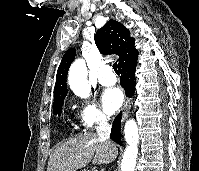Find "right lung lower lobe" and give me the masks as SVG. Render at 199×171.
<instances>
[{
  "instance_id": "right-lung-lower-lobe-1",
  "label": "right lung lower lobe",
  "mask_w": 199,
  "mask_h": 171,
  "mask_svg": "<svg viewBox=\"0 0 199 171\" xmlns=\"http://www.w3.org/2000/svg\"><path fill=\"white\" fill-rule=\"evenodd\" d=\"M136 66H137V58L119 66V72L121 74L120 84L124 88L127 97H132V95L135 92ZM120 121H121V112L118 114V116H116L113 122L111 130V139L121 145Z\"/></svg>"
}]
</instances>
